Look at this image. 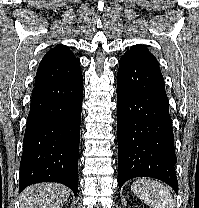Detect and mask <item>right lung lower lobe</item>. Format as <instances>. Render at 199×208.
I'll return each mask as SVG.
<instances>
[{
	"label": "right lung lower lobe",
	"mask_w": 199,
	"mask_h": 208,
	"mask_svg": "<svg viewBox=\"0 0 199 208\" xmlns=\"http://www.w3.org/2000/svg\"><path fill=\"white\" fill-rule=\"evenodd\" d=\"M83 76L35 87L23 141L19 192L39 182L78 191Z\"/></svg>",
	"instance_id": "98d812e1"
}]
</instances>
